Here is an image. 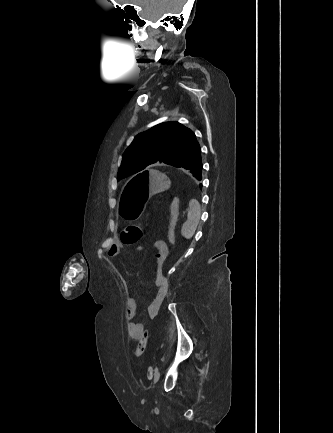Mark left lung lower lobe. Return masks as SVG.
<instances>
[{"label":"left lung lower lobe","mask_w":333,"mask_h":433,"mask_svg":"<svg viewBox=\"0 0 333 433\" xmlns=\"http://www.w3.org/2000/svg\"><path fill=\"white\" fill-rule=\"evenodd\" d=\"M185 170L192 174L197 180L202 179V158L201 152L182 166Z\"/></svg>","instance_id":"1"}]
</instances>
